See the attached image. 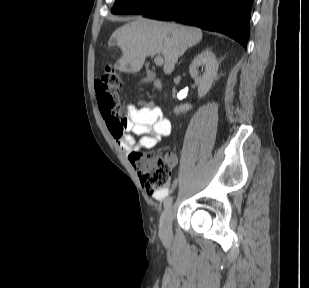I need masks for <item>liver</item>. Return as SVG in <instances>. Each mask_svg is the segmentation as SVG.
<instances>
[{
  "label": "liver",
  "mask_w": 309,
  "mask_h": 288,
  "mask_svg": "<svg viewBox=\"0 0 309 288\" xmlns=\"http://www.w3.org/2000/svg\"><path fill=\"white\" fill-rule=\"evenodd\" d=\"M202 36V31L196 27L138 17L115 30L110 38L109 45H117L122 51L114 69L136 73L143 67L146 57L162 54L164 73L169 75L178 58L199 43Z\"/></svg>",
  "instance_id": "liver-1"
}]
</instances>
